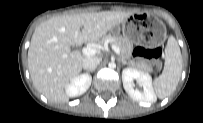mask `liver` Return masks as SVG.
Returning <instances> with one entry per match:
<instances>
[{"instance_id": "obj_1", "label": "liver", "mask_w": 203, "mask_h": 123, "mask_svg": "<svg viewBox=\"0 0 203 123\" xmlns=\"http://www.w3.org/2000/svg\"><path fill=\"white\" fill-rule=\"evenodd\" d=\"M132 12L103 11L61 15L41 23L28 50V68L34 87L52 103L69 100L66 86L82 70L84 56L71 46L99 42L125 22Z\"/></svg>"}]
</instances>
